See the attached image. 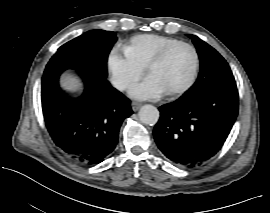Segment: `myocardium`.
Listing matches in <instances>:
<instances>
[{
	"label": "myocardium",
	"instance_id": "1",
	"mask_svg": "<svg viewBox=\"0 0 270 213\" xmlns=\"http://www.w3.org/2000/svg\"><path fill=\"white\" fill-rule=\"evenodd\" d=\"M179 47H187L193 52L194 58H195V64H194V67H193V70H192V73L190 75L189 80L182 87L166 92L167 96H169V97H179L193 87V85L196 81L197 75H198L199 64H200V59H199V54H198L197 49L192 44H190L188 42L181 41V42H178V43L164 49L155 58H153L151 60V62L148 64V72L150 73V71L155 66L160 64L173 50H175Z\"/></svg>",
	"mask_w": 270,
	"mask_h": 213
}]
</instances>
